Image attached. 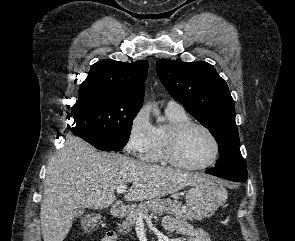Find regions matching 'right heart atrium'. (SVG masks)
I'll return each instance as SVG.
<instances>
[{
    "instance_id": "1",
    "label": "right heart atrium",
    "mask_w": 295,
    "mask_h": 241,
    "mask_svg": "<svg viewBox=\"0 0 295 241\" xmlns=\"http://www.w3.org/2000/svg\"><path fill=\"white\" fill-rule=\"evenodd\" d=\"M153 129L147 110L139 109L130 119L127 151L132 155L143 156L151 144Z\"/></svg>"
}]
</instances>
